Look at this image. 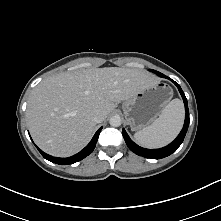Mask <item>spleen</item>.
<instances>
[{"label": "spleen", "instance_id": "3e777b00", "mask_svg": "<svg viewBox=\"0 0 221 221\" xmlns=\"http://www.w3.org/2000/svg\"><path fill=\"white\" fill-rule=\"evenodd\" d=\"M184 107L180 99H173L149 126L134 133L135 141L146 148H159L170 143L180 132Z\"/></svg>", "mask_w": 221, "mask_h": 221}]
</instances>
